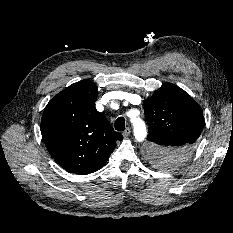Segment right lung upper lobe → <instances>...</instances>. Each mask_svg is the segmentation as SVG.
<instances>
[{
    "label": "right lung upper lobe",
    "mask_w": 233,
    "mask_h": 233,
    "mask_svg": "<svg viewBox=\"0 0 233 233\" xmlns=\"http://www.w3.org/2000/svg\"><path fill=\"white\" fill-rule=\"evenodd\" d=\"M98 90L89 79L53 97L44 109L41 133L50 155L66 171L86 175L99 170L122 140L95 108Z\"/></svg>",
    "instance_id": "obj_1"
}]
</instances>
